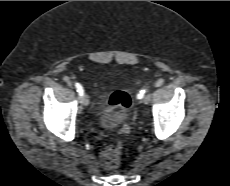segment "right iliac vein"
I'll use <instances>...</instances> for the list:
<instances>
[{"label":"right iliac vein","instance_id":"1","mask_svg":"<svg viewBox=\"0 0 230 186\" xmlns=\"http://www.w3.org/2000/svg\"><path fill=\"white\" fill-rule=\"evenodd\" d=\"M81 103L84 106H88L89 105V97L86 93H83V95L81 96Z\"/></svg>","mask_w":230,"mask_h":186}]
</instances>
